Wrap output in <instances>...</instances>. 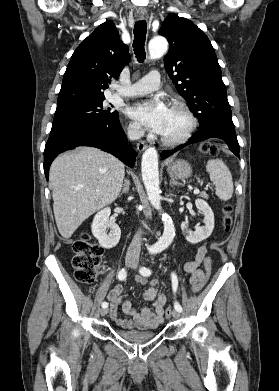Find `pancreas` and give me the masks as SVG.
I'll list each match as a JSON object with an SVG mask.
<instances>
[{
  "label": "pancreas",
  "mask_w": 279,
  "mask_h": 391,
  "mask_svg": "<svg viewBox=\"0 0 279 391\" xmlns=\"http://www.w3.org/2000/svg\"><path fill=\"white\" fill-rule=\"evenodd\" d=\"M199 196L205 199H208L209 197L208 194H206L205 192H202Z\"/></svg>",
  "instance_id": "1"
}]
</instances>
